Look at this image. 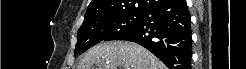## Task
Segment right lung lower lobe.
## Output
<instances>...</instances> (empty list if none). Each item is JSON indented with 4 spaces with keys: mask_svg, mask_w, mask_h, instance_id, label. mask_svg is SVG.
<instances>
[{
    "mask_svg": "<svg viewBox=\"0 0 246 69\" xmlns=\"http://www.w3.org/2000/svg\"><path fill=\"white\" fill-rule=\"evenodd\" d=\"M119 40L136 42L169 69H190L191 20L185 0H167L142 14L141 23Z\"/></svg>",
    "mask_w": 246,
    "mask_h": 69,
    "instance_id": "obj_1",
    "label": "right lung lower lobe"
}]
</instances>
